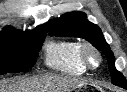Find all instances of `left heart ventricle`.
<instances>
[{"mask_svg": "<svg viewBox=\"0 0 127 92\" xmlns=\"http://www.w3.org/2000/svg\"><path fill=\"white\" fill-rule=\"evenodd\" d=\"M92 62L95 63L96 62V59L95 58H92Z\"/></svg>", "mask_w": 127, "mask_h": 92, "instance_id": "obj_1", "label": "left heart ventricle"}]
</instances>
